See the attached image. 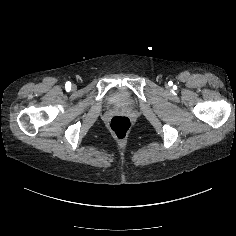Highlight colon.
Returning <instances> with one entry per match:
<instances>
[{"mask_svg": "<svg viewBox=\"0 0 236 236\" xmlns=\"http://www.w3.org/2000/svg\"><path fill=\"white\" fill-rule=\"evenodd\" d=\"M109 129L116 138L122 140L130 133L131 121L127 116H114L109 122Z\"/></svg>", "mask_w": 236, "mask_h": 236, "instance_id": "1", "label": "colon"}]
</instances>
